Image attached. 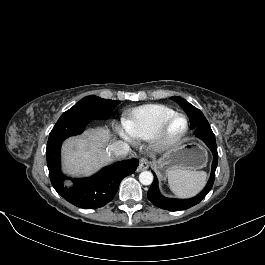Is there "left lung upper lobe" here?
<instances>
[{
  "instance_id": "5c2ea615",
  "label": "left lung upper lobe",
  "mask_w": 265,
  "mask_h": 265,
  "mask_svg": "<svg viewBox=\"0 0 265 265\" xmlns=\"http://www.w3.org/2000/svg\"><path fill=\"white\" fill-rule=\"evenodd\" d=\"M171 99L178 103L186 112V114L190 118L191 129L202 124H209L203 113L198 108L188 103L185 99L176 96L171 97Z\"/></svg>"
}]
</instances>
